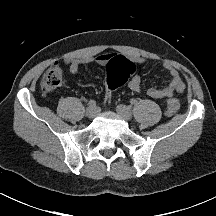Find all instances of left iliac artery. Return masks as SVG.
<instances>
[{
  "mask_svg": "<svg viewBox=\"0 0 216 216\" xmlns=\"http://www.w3.org/2000/svg\"><path fill=\"white\" fill-rule=\"evenodd\" d=\"M130 103H131L132 105H134V104L137 103V100H136V99H131V100H130Z\"/></svg>",
  "mask_w": 216,
  "mask_h": 216,
  "instance_id": "obj_1",
  "label": "left iliac artery"
}]
</instances>
